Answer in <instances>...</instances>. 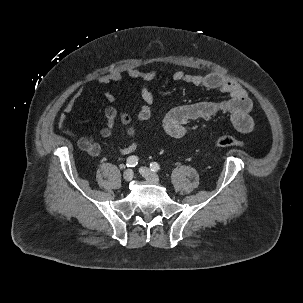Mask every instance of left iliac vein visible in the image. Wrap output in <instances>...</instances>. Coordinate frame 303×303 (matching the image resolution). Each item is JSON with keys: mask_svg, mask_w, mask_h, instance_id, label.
Wrapping results in <instances>:
<instances>
[{"mask_svg": "<svg viewBox=\"0 0 303 303\" xmlns=\"http://www.w3.org/2000/svg\"><path fill=\"white\" fill-rule=\"evenodd\" d=\"M141 175L148 181L158 184L160 179L158 175L154 172H152L149 168L141 167L140 168Z\"/></svg>", "mask_w": 303, "mask_h": 303, "instance_id": "left-iliac-vein-1", "label": "left iliac vein"}]
</instances>
